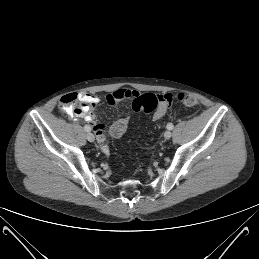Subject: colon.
Wrapping results in <instances>:
<instances>
[{"mask_svg":"<svg viewBox=\"0 0 259 259\" xmlns=\"http://www.w3.org/2000/svg\"><path fill=\"white\" fill-rule=\"evenodd\" d=\"M178 100L187 107H196L198 100L189 94L181 93L178 95ZM158 96L151 93L139 94L133 100L132 106L134 111L138 113H150L158 106ZM128 125L127 119H122L115 122L110 129L113 137L118 138L124 134Z\"/></svg>","mask_w":259,"mask_h":259,"instance_id":"5ec220e1","label":"colon"}]
</instances>
